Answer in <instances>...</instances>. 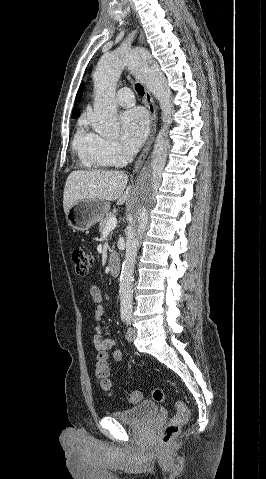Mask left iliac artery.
Masks as SVG:
<instances>
[{
	"instance_id": "left-iliac-artery-1",
	"label": "left iliac artery",
	"mask_w": 266,
	"mask_h": 479,
	"mask_svg": "<svg viewBox=\"0 0 266 479\" xmlns=\"http://www.w3.org/2000/svg\"><path fill=\"white\" fill-rule=\"evenodd\" d=\"M125 316V320L127 322V324H130L131 323V314H127V315H124Z\"/></svg>"
}]
</instances>
